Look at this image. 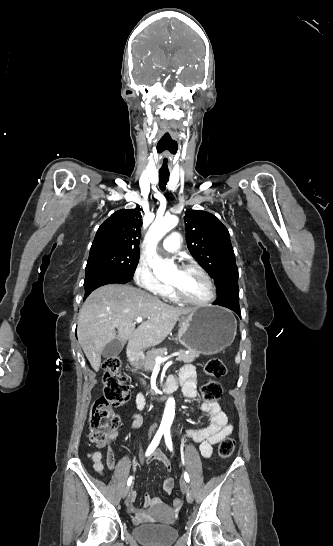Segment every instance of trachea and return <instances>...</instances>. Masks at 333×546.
<instances>
[{"instance_id":"trachea-1","label":"trachea","mask_w":333,"mask_h":546,"mask_svg":"<svg viewBox=\"0 0 333 546\" xmlns=\"http://www.w3.org/2000/svg\"><path fill=\"white\" fill-rule=\"evenodd\" d=\"M169 181V173L159 172V187L162 191L166 189V185Z\"/></svg>"}]
</instances>
